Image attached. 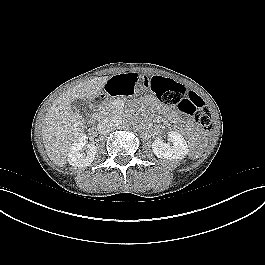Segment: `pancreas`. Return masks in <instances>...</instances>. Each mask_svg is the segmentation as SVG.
<instances>
[{"instance_id":"cf45deb5","label":"pancreas","mask_w":265,"mask_h":265,"mask_svg":"<svg viewBox=\"0 0 265 265\" xmlns=\"http://www.w3.org/2000/svg\"><path fill=\"white\" fill-rule=\"evenodd\" d=\"M113 103L114 101H109L105 103L104 106L101 107L100 112H99L101 117H107V116H110L111 114L118 113V110L115 109Z\"/></svg>"}]
</instances>
